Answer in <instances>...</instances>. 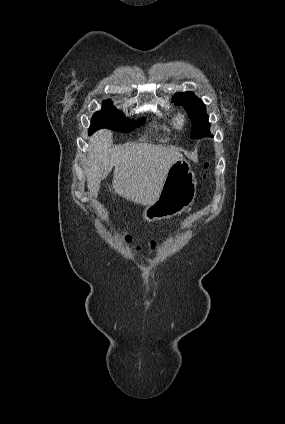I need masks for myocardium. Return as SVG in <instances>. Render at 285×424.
Wrapping results in <instances>:
<instances>
[{
  "label": "myocardium",
  "instance_id": "f54148a6",
  "mask_svg": "<svg viewBox=\"0 0 285 424\" xmlns=\"http://www.w3.org/2000/svg\"><path fill=\"white\" fill-rule=\"evenodd\" d=\"M186 124V116L183 113H179L175 117V125L177 128H183Z\"/></svg>",
  "mask_w": 285,
  "mask_h": 424
}]
</instances>
